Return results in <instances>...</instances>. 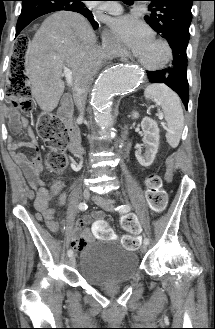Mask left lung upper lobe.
Segmentation results:
<instances>
[{"label": "left lung upper lobe", "mask_w": 215, "mask_h": 329, "mask_svg": "<svg viewBox=\"0 0 215 329\" xmlns=\"http://www.w3.org/2000/svg\"><path fill=\"white\" fill-rule=\"evenodd\" d=\"M151 14L145 21L162 37L178 36L189 41L192 3L195 0H149Z\"/></svg>", "instance_id": "obj_1"}]
</instances>
